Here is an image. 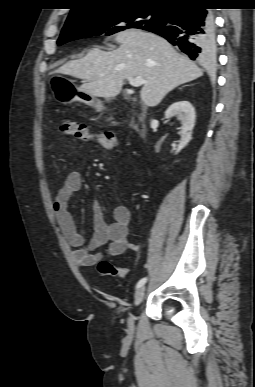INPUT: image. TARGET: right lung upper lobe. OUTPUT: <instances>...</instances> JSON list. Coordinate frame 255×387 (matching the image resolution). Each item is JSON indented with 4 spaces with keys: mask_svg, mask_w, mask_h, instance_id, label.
I'll return each mask as SVG.
<instances>
[{
    "mask_svg": "<svg viewBox=\"0 0 255 387\" xmlns=\"http://www.w3.org/2000/svg\"><path fill=\"white\" fill-rule=\"evenodd\" d=\"M197 0H76V7L73 8L66 20V23L77 21L85 15L112 9L121 6L159 7L171 8Z\"/></svg>",
    "mask_w": 255,
    "mask_h": 387,
    "instance_id": "obj_1",
    "label": "right lung upper lobe"
}]
</instances>
